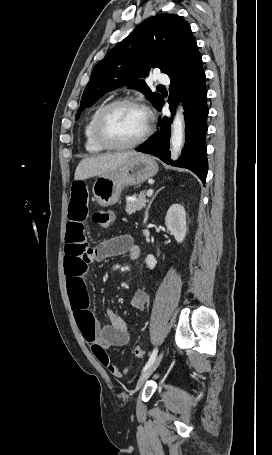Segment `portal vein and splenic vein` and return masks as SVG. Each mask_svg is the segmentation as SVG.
<instances>
[{"label":"portal vein and splenic vein","instance_id":"portal-vein-and-splenic-vein-1","mask_svg":"<svg viewBox=\"0 0 272 455\" xmlns=\"http://www.w3.org/2000/svg\"><path fill=\"white\" fill-rule=\"evenodd\" d=\"M153 194V189H149L147 191V196L150 197Z\"/></svg>","mask_w":272,"mask_h":455}]
</instances>
